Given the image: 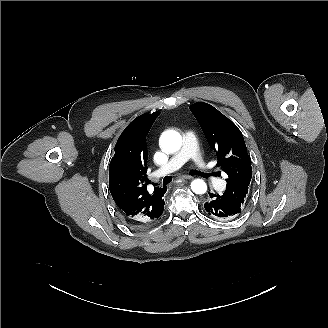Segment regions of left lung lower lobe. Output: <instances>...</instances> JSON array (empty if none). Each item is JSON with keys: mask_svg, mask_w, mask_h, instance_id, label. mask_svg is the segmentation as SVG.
<instances>
[{"mask_svg": "<svg viewBox=\"0 0 328 328\" xmlns=\"http://www.w3.org/2000/svg\"><path fill=\"white\" fill-rule=\"evenodd\" d=\"M210 199L204 204L205 211L215 219L229 220L241 213V207L222 195L209 193Z\"/></svg>", "mask_w": 328, "mask_h": 328, "instance_id": "1", "label": "left lung lower lobe"}]
</instances>
